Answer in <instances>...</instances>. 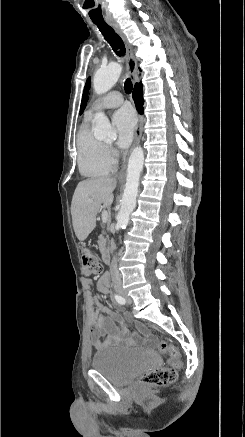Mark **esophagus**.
<instances>
[{
    "label": "esophagus",
    "instance_id": "1",
    "mask_svg": "<svg viewBox=\"0 0 245 437\" xmlns=\"http://www.w3.org/2000/svg\"><path fill=\"white\" fill-rule=\"evenodd\" d=\"M109 25L115 30V32L120 36V38L123 40L125 44L127 73L132 79H135V76L137 74V61L134 56L133 48L129 44L126 36L124 35L121 28L116 22H109ZM142 130H143V118L141 115H139L137 124L135 126L133 147H135L139 143L142 135ZM124 171H125V167H123L122 170L120 171L119 178H121L124 175Z\"/></svg>",
    "mask_w": 245,
    "mask_h": 437
}]
</instances>
